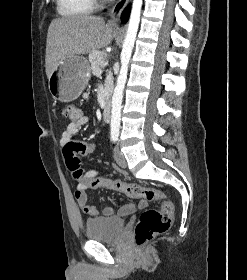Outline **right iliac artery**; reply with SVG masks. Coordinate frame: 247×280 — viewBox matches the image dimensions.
I'll use <instances>...</instances> for the list:
<instances>
[{"label":"right iliac artery","instance_id":"right-iliac-artery-1","mask_svg":"<svg viewBox=\"0 0 247 280\" xmlns=\"http://www.w3.org/2000/svg\"><path fill=\"white\" fill-rule=\"evenodd\" d=\"M112 141H113V142H115V141H116V138H115V137H113V138H112Z\"/></svg>","mask_w":247,"mask_h":280}]
</instances>
